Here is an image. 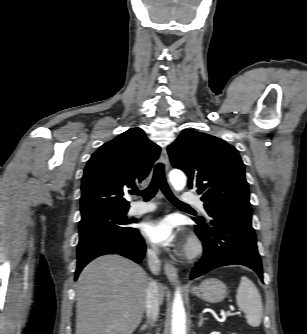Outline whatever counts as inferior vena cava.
Listing matches in <instances>:
<instances>
[{
	"label": "inferior vena cava",
	"instance_id": "inferior-vena-cava-1",
	"mask_svg": "<svg viewBox=\"0 0 307 334\" xmlns=\"http://www.w3.org/2000/svg\"><path fill=\"white\" fill-rule=\"evenodd\" d=\"M158 249L152 248L147 250L148 265L152 273L158 275L161 268L160 260L158 259ZM161 303L159 284L152 280L149 283L147 294L145 311L146 317L151 321L155 322L159 315V306Z\"/></svg>",
	"mask_w": 307,
	"mask_h": 334
}]
</instances>
